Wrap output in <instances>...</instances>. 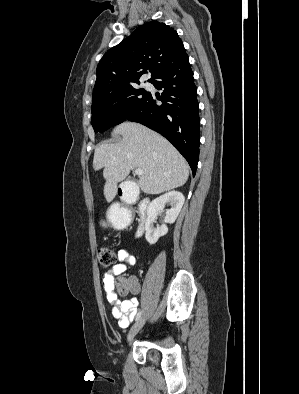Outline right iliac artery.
Here are the masks:
<instances>
[{
  "instance_id": "right-iliac-artery-1",
  "label": "right iliac artery",
  "mask_w": 299,
  "mask_h": 394,
  "mask_svg": "<svg viewBox=\"0 0 299 394\" xmlns=\"http://www.w3.org/2000/svg\"><path fill=\"white\" fill-rule=\"evenodd\" d=\"M141 314H142L141 311H139V312L137 313L136 318H135L136 321L141 317Z\"/></svg>"
}]
</instances>
